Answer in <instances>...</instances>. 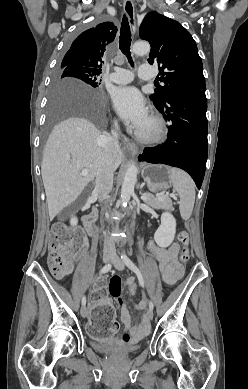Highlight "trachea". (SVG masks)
<instances>
[{"label":"trachea","instance_id":"obj_1","mask_svg":"<svg viewBox=\"0 0 248 389\" xmlns=\"http://www.w3.org/2000/svg\"><path fill=\"white\" fill-rule=\"evenodd\" d=\"M130 45H131V32H130L128 19L124 15L121 23L119 46L121 52L126 55V57L129 60V63L131 64L132 67H134V63L130 52Z\"/></svg>","mask_w":248,"mask_h":389}]
</instances>
